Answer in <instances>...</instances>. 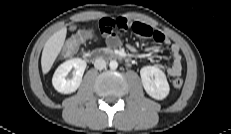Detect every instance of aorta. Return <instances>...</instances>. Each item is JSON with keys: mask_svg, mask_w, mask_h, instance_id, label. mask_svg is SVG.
Listing matches in <instances>:
<instances>
[{"mask_svg": "<svg viewBox=\"0 0 231 134\" xmlns=\"http://www.w3.org/2000/svg\"><path fill=\"white\" fill-rule=\"evenodd\" d=\"M109 67H110L111 69H116V68L118 67V62H117L116 60L110 61Z\"/></svg>", "mask_w": 231, "mask_h": 134, "instance_id": "obj_1", "label": "aorta"}]
</instances>
